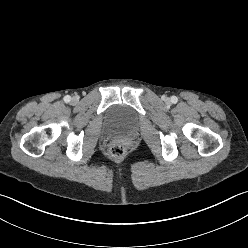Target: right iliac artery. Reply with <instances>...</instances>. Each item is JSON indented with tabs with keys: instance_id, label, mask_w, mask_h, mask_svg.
<instances>
[{
	"instance_id": "obj_1",
	"label": "right iliac artery",
	"mask_w": 248,
	"mask_h": 248,
	"mask_svg": "<svg viewBox=\"0 0 248 248\" xmlns=\"http://www.w3.org/2000/svg\"><path fill=\"white\" fill-rule=\"evenodd\" d=\"M64 101H65L66 103L70 102V101H71V97H70L69 95L65 96V97H64Z\"/></svg>"
}]
</instances>
